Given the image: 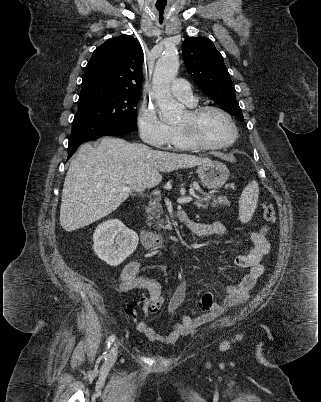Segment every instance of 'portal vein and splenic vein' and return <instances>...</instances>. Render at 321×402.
Listing matches in <instances>:
<instances>
[{"instance_id":"1","label":"portal vein and splenic vein","mask_w":321,"mask_h":402,"mask_svg":"<svg viewBox=\"0 0 321 402\" xmlns=\"http://www.w3.org/2000/svg\"><path fill=\"white\" fill-rule=\"evenodd\" d=\"M113 191H115V192H129V188L127 186L118 187V188L113 189ZM196 198L200 199L198 196H196ZM208 198H209V196H208ZM201 200H207V198H204V199H201ZM191 201H193V198L191 196H183V197L178 198V200H177V202L179 204H185V203H189Z\"/></svg>"}]
</instances>
